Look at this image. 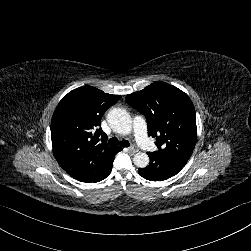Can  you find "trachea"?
<instances>
[{
    "label": "trachea",
    "mask_w": 251,
    "mask_h": 251,
    "mask_svg": "<svg viewBox=\"0 0 251 251\" xmlns=\"http://www.w3.org/2000/svg\"><path fill=\"white\" fill-rule=\"evenodd\" d=\"M108 144L111 146H117L120 145L122 147H129V142L127 140H122V141H118L117 138L113 137L111 139H109Z\"/></svg>",
    "instance_id": "trachea-1"
}]
</instances>
